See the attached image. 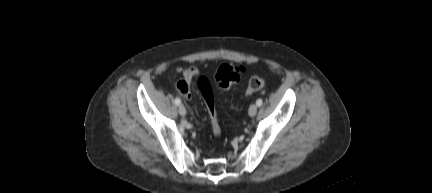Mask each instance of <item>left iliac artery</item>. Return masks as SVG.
<instances>
[{
  "label": "left iliac artery",
  "instance_id": "1",
  "mask_svg": "<svg viewBox=\"0 0 432 193\" xmlns=\"http://www.w3.org/2000/svg\"><path fill=\"white\" fill-rule=\"evenodd\" d=\"M262 103H263L262 99H258V100L256 101V105H257V106H261Z\"/></svg>",
  "mask_w": 432,
  "mask_h": 193
}]
</instances>
